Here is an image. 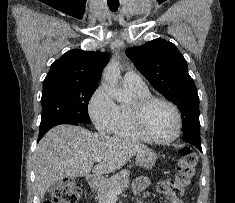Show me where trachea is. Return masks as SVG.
I'll return each mask as SVG.
<instances>
[{
  "instance_id": "obj_1",
  "label": "trachea",
  "mask_w": 235,
  "mask_h": 203,
  "mask_svg": "<svg viewBox=\"0 0 235 203\" xmlns=\"http://www.w3.org/2000/svg\"><path fill=\"white\" fill-rule=\"evenodd\" d=\"M108 6L111 11L115 12L118 10L119 4H115V5L108 4Z\"/></svg>"
}]
</instances>
